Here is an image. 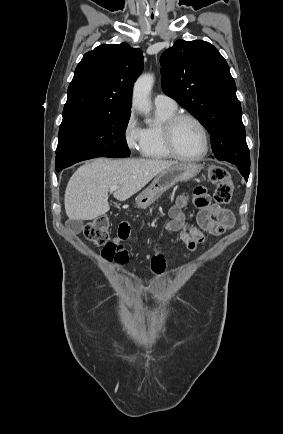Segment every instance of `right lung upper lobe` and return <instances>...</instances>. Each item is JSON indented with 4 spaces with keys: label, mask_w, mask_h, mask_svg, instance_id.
<instances>
[{
    "label": "right lung upper lobe",
    "mask_w": 283,
    "mask_h": 434,
    "mask_svg": "<svg viewBox=\"0 0 283 434\" xmlns=\"http://www.w3.org/2000/svg\"><path fill=\"white\" fill-rule=\"evenodd\" d=\"M142 70V51L127 43L103 44L86 53L69 85L63 118L131 112L133 83Z\"/></svg>",
    "instance_id": "cb5924a9"
}]
</instances>
